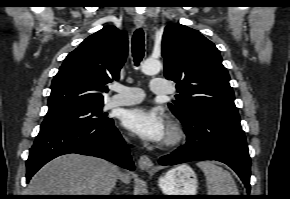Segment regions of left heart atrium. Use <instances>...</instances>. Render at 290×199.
Here are the masks:
<instances>
[{"mask_svg": "<svg viewBox=\"0 0 290 199\" xmlns=\"http://www.w3.org/2000/svg\"><path fill=\"white\" fill-rule=\"evenodd\" d=\"M121 122L124 127L147 142H160L167 133L164 115L158 109L144 106L128 109L123 113Z\"/></svg>", "mask_w": 290, "mask_h": 199, "instance_id": "1", "label": "left heart atrium"}]
</instances>
